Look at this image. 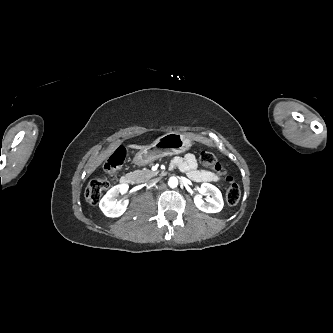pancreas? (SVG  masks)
Here are the masks:
<instances>
[{"instance_id":"1","label":"pancreas","mask_w":333,"mask_h":333,"mask_svg":"<svg viewBox=\"0 0 333 333\" xmlns=\"http://www.w3.org/2000/svg\"><path fill=\"white\" fill-rule=\"evenodd\" d=\"M134 179L141 183V182H148L152 177L157 175V172L151 171L149 169H142L133 172Z\"/></svg>"}]
</instances>
